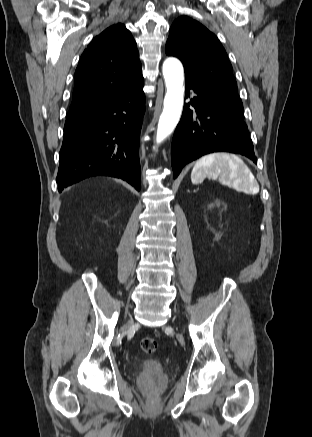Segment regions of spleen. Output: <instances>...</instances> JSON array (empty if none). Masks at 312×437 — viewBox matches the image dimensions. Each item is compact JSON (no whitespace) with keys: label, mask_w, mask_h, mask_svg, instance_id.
<instances>
[{"label":"spleen","mask_w":312,"mask_h":437,"mask_svg":"<svg viewBox=\"0 0 312 437\" xmlns=\"http://www.w3.org/2000/svg\"><path fill=\"white\" fill-rule=\"evenodd\" d=\"M206 176L219 178L221 182L236 186L246 193L259 192V185L248 166L233 154L213 153L200 158L191 172L192 183H201Z\"/></svg>","instance_id":"3e777b00"}]
</instances>
